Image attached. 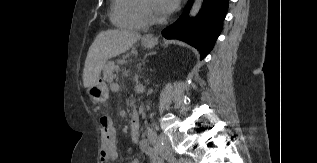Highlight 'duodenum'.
<instances>
[{
  "mask_svg": "<svg viewBox=\"0 0 317 163\" xmlns=\"http://www.w3.org/2000/svg\"><path fill=\"white\" fill-rule=\"evenodd\" d=\"M130 132L132 140L138 141L140 138V123L139 116L136 113H134L131 117Z\"/></svg>",
  "mask_w": 317,
  "mask_h": 163,
  "instance_id": "410a0bca",
  "label": "duodenum"
}]
</instances>
